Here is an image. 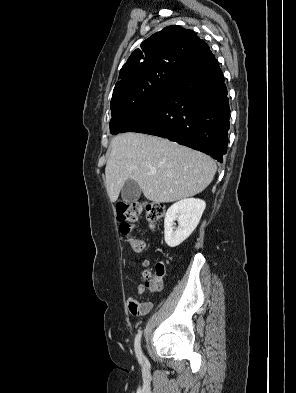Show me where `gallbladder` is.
Returning <instances> with one entry per match:
<instances>
[{"label":"gallbladder","instance_id":"gallbladder-1","mask_svg":"<svg viewBox=\"0 0 296 393\" xmlns=\"http://www.w3.org/2000/svg\"><path fill=\"white\" fill-rule=\"evenodd\" d=\"M141 195V188L133 179H128L121 192V197L125 203H133L139 199Z\"/></svg>","mask_w":296,"mask_h":393}]
</instances>
